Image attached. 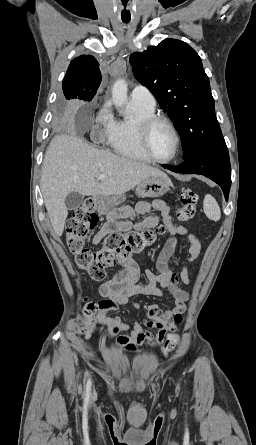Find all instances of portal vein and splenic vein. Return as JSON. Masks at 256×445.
Wrapping results in <instances>:
<instances>
[{"label":"portal vein and splenic vein","instance_id":"portal-vein-and-splenic-vein-1","mask_svg":"<svg viewBox=\"0 0 256 445\" xmlns=\"http://www.w3.org/2000/svg\"><path fill=\"white\" fill-rule=\"evenodd\" d=\"M104 179H106V175H104V174H101V175L98 177V180H104Z\"/></svg>","mask_w":256,"mask_h":445}]
</instances>
